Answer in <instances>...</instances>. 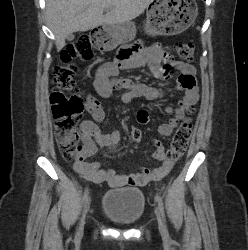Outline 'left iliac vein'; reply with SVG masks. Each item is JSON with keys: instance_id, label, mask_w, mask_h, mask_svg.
Masks as SVG:
<instances>
[{"instance_id": "1", "label": "left iliac vein", "mask_w": 248, "mask_h": 250, "mask_svg": "<svg viewBox=\"0 0 248 250\" xmlns=\"http://www.w3.org/2000/svg\"><path fill=\"white\" fill-rule=\"evenodd\" d=\"M155 214H156V217H157L159 228L161 230H163L164 229V225H163V222H162L161 214H160V212H159L158 209L155 210Z\"/></svg>"}]
</instances>
